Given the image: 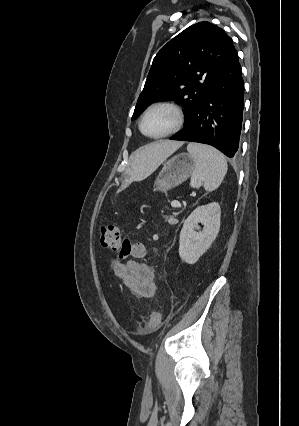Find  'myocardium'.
I'll return each mask as SVG.
<instances>
[{
	"mask_svg": "<svg viewBox=\"0 0 299 426\" xmlns=\"http://www.w3.org/2000/svg\"><path fill=\"white\" fill-rule=\"evenodd\" d=\"M162 107L169 108L175 113L176 123L169 131H167L165 133H162L160 135H154V136L148 135L147 133H145V131L143 129L144 120L152 110L157 109V108H162ZM184 122H185V113H184L182 107L174 101L163 100V101H158V102L151 104L146 109V111L144 112V114L142 115V117L140 119L139 129H140L141 133L148 138L161 139V138L171 136V135L177 133L178 131H180L182 129L183 125H184Z\"/></svg>",
	"mask_w": 299,
	"mask_h": 426,
	"instance_id": "1",
	"label": "myocardium"
}]
</instances>
